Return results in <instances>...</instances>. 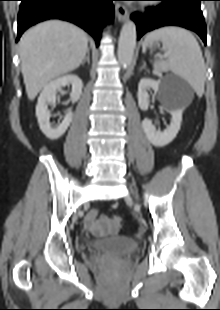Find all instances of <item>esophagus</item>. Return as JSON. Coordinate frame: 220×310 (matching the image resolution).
<instances>
[{
	"label": "esophagus",
	"mask_w": 220,
	"mask_h": 310,
	"mask_svg": "<svg viewBox=\"0 0 220 310\" xmlns=\"http://www.w3.org/2000/svg\"><path fill=\"white\" fill-rule=\"evenodd\" d=\"M115 13L116 17L120 22H124L129 16L128 9L124 5L119 3L115 5Z\"/></svg>",
	"instance_id": "esophagus-1"
}]
</instances>
